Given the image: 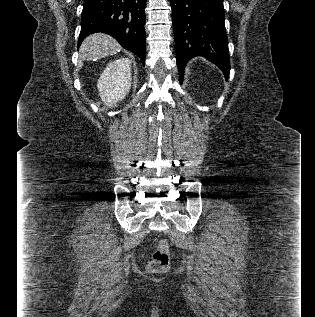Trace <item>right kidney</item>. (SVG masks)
<instances>
[{
	"instance_id": "ca27d5eb",
	"label": "right kidney",
	"mask_w": 315,
	"mask_h": 317,
	"mask_svg": "<svg viewBox=\"0 0 315 317\" xmlns=\"http://www.w3.org/2000/svg\"><path fill=\"white\" fill-rule=\"evenodd\" d=\"M131 61L120 58L110 62L97 83L101 100L107 106L116 105L124 99L131 88Z\"/></svg>"
}]
</instances>
